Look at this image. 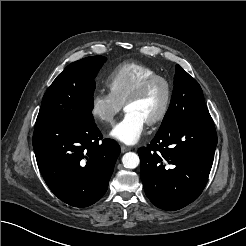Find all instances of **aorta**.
Masks as SVG:
<instances>
[{"instance_id": "obj_1", "label": "aorta", "mask_w": 246, "mask_h": 246, "mask_svg": "<svg viewBox=\"0 0 246 246\" xmlns=\"http://www.w3.org/2000/svg\"><path fill=\"white\" fill-rule=\"evenodd\" d=\"M122 163L125 168L134 169L139 163V156L134 152H128L122 157Z\"/></svg>"}]
</instances>
